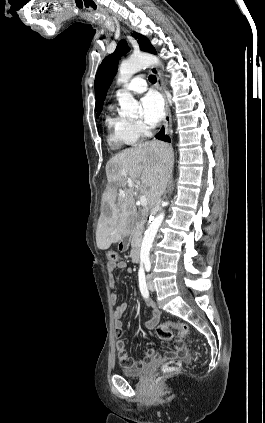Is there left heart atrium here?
<instances>
[{"label":"left heart atrium","instance_id":"39dd6f15","mask_svg":"<svg viewBox=\"0 0 265 423\" xmlns=\"http://www.w3.org/2000/svg\"><path fill=\"white\" fill-rule=\"evenodd\" d=\"M142 118L150 124H158L164 116V104L161 97L155 92H149L142 97L141 101Z\"/></svg>","mask_w":265,"mask_h":423}]
</instances>
